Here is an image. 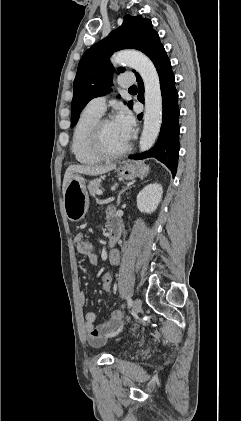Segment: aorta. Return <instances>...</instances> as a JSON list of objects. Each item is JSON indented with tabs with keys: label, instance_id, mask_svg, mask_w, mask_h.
<instances>
[{
	"label": "aorta",
	"instance_id": "1",
	"mask_svg": "<svg viewBox=\"0 0 241 421\" xmlns=\"http://www.w3.org/2000/svg\"><path fill=\"white\" fill-rule=\"evenodd\" d=\"M113 64H125L135 69L143 79L145 88L144 126L139 141L140 152L155 143L162 123V96L159 76L152 61L140 51L122 50L113 55Z\"/></svg>",
	"mask_w": 241,
	"mask_h": 421
}]
</instances>
